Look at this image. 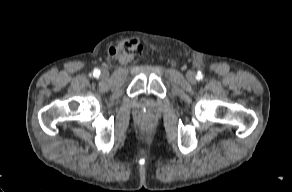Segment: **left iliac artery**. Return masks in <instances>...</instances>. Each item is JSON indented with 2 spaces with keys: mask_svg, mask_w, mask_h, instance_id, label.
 I'll return each instance as SVG.
<instances>
[{
  "mask_svg": "<svg viewBox=\"0 0 292 192\" xmlns=\"http://www.w3.org/2000/svg\"><path fill=\"white\" fill-rule=\"evenodd\" d=\"M197 79H202V74L201 73H198Z\"/></svg>",
  "mask_w": 292,
  "mask_h": 192,
  "instance_id": "44dca946",
  "label": "left iliac artery"
}]
</instances>
